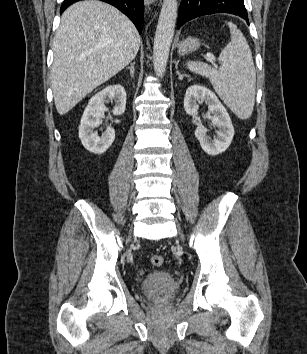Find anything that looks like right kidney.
<instances>
[{
    "mask_svg": "<svg viewBox=\"0 0 307 354\" xmlns=\"http://www.w3.org/2000/svg\"><path fill=\"white\" fill-rule=\"evenodd\" d=\"M115 102L113 114L122 115L126 107V92L123 86L110 85L96 93L88 102L79 126V138L83 146L94 154H103L112 145L115 139V130L108 127L99 136L94 129L100 124V118L107 110L105 104Z\"/></svg>",
    "mask_w": 307,
    "mask_h": 354,
    "instance_id": "right-kidney-1",
    "label": "right kidney"
}]
</instances>
